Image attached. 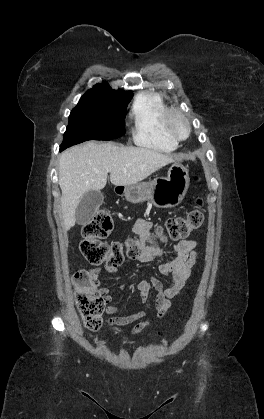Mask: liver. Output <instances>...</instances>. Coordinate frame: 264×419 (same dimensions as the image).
<instances>
[{"mask_svg":"<svg viewBox=\"0 0 264 419\" xmlns=\"http://www.w3.org/2000/svg\"><path fill=\"white\" fill-rule=\"evenodd\" d=\"M172 154L143 147L118 146L93 141L73 146L59 158L61 210L65 230L75 225V211L82 196L106 186L107 175L115 186L136 184L177 160Z\"/></svg>","mask_w":264,"mask_h":419,"instance_id":"1","label":"liver"}]
</instances>
